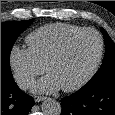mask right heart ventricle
<instances>
[{"mask_svg":"<svg viewBox=\"0 0 115 115\" xmlns=\"http://www.w3.org/2000/svg\"><path fill=\"white\" fill-rule=\"evenodd\" d=\"M82 29L84 28L66 23L41 26L26 37L28 49L37 62L44 66L66 38Z\"/></svg>","mask_w":115,"mask_h":115,"instance_id":"e07e8e85","label":"right heart ventricle"}]
</instances>
